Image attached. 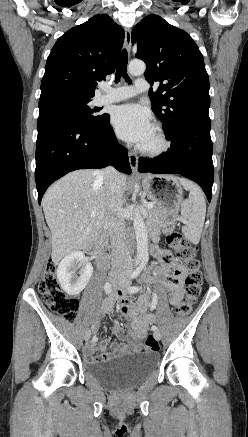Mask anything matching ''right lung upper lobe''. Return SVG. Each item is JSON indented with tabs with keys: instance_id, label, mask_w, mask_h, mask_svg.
I'll return each instance as SVG.
<instances>
[{
	"instance_id": "1",
	"label": "right lung upper lobe",
	"mask_w": 248,
	"mask_h": 437,
	"mask_svg": "<svg viewBox=\"0 0 248 437\" xmlns=\"http://www.w3.org/2000/svg\"><path fill=\"white\" fill-rule=\"evenodd\" d=\"M124 30L107 15H96L68 30L53 46L41 82L52 92L93 98L97 81L115 71Z\"/></svg>"
}]
</instances>
